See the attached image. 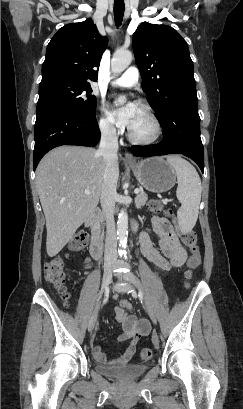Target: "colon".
Instances as JSON below:
<instances>
[{"instance_id": "obj_1", "label": "colon", "mask_w": 243, "mask_h": 409, "mask_svg": "<svg viewBox=\"0 0 243 409\" xmlns=\"http://www.w3.org/2000/svg\"><path fill=\"white\" fill-rule=\"evenodd\" d=\"M149 209L153 214L164 213L168 216L172 215V212L167 209L164 204L157 199L149 202ZM179 235L184 242L190 248V256L187 261L186 279L189 282L193 276V272L200 266L201 253L197 245L196 233L192 230L179 231ZM88 238L86 234H78L72 240V247L75 251L81 250L87 244ZM45 278L50 285L60 294V296L66 301L68 299L66 289V275L63 270V258L56 256L47 261L44 265ZM152 356V351L149 348H143L140 351V358L142 360H149Z\"/></svg>"}]
</instances>
